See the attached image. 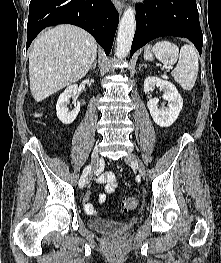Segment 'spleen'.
Masks as SVG:
<instances>
[{
  "instance_id": "spleen-1",
  "label": "spleen",
  "mask_w": 221,
  "mask_h": 263,
  "mask_svg": "<svg viewBox=\"0 0 221 263\" xmlns=\"http://www.w3.org/2000/svg\"><path fill=\"white\" fill-rule=\"evenodd\" d=\"M153 53L165 65L177 63L171 74L184 90L194 87L199 69L198 52L194 46L185 44L179 50L177 45L164 40L154 45Z\"/></svg>"
}]
</instances>
